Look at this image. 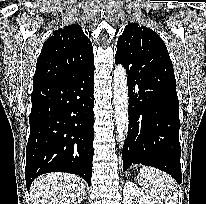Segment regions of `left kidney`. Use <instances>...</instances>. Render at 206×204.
Segmentation results:
<instances>
[{
  "label": "left kidney",
  "instance_id": "obj_1",
  "mask_svg": "<svg viewBox=\"0 0 206 204\" xmlns=\"http://www.w3.org/2000/svg\"><path fill=\"white\" fill-rule=\"evenodd\" d=\"M136 200V201H134ZM155 204V202L134 183L128 181L123 188V204Z\"/></svg>",
  "mask_w": 206,
  "mask_h": 204
}]
</instances>
